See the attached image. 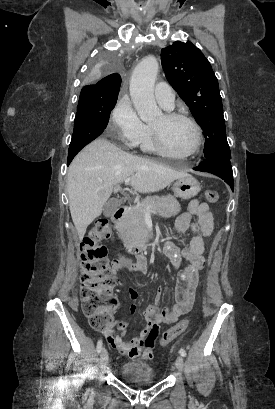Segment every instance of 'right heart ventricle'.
<instances>
[{
  "label": "right heart ventricle",
  "instance_id": "1",
  "mask_svg": "<svg viewBox=\"0 0 275 409\" xmlns=\"http://www.w3.org/2000/svg\"><path fill=\"white\" fill-rule=\"evenodd\" d=\"M141 150L147 154H159V151L155 148L153 144L151 126L145 125V130L143 137L140 142Z\"/></svg>",
  "mask_w": 275,
  "mask_h": 409
}]
</instances>
